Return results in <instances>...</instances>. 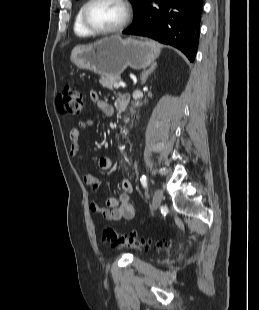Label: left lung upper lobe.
Listing matches in <instances>:
<instances>
[{"instance_id":"1","label":"left lung upper lobe","mask_w":259,"mask_h":310,"mask_svg":"<svg viewBox=\"0 0 259 310\" xmlns=\"http://www.w3.org/2000/svg\"><path fill=\"white\" fill-rule=\"evenodd\" d=\"M133 3L134 9H135V18L141 8V6L144 4L146 0H130Z\"/></svg>"}]
</instances>
